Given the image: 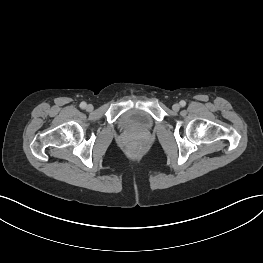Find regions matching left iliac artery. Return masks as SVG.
I'll use <instances>...</instances> for the list:
<instances>
[{
    "label": "left iliac artery",
    "mask_w": 263,
    "mask_h": 263,
    "mask_svg": "<svg viewBox=\"0 0 263 263\" xmlns=\"http://www.w3.org/2000/svg\"><path fill=\"white\" fill-rule=\"evenodd\" d=\"M180 105H181L182 107H184V106L186 105V102H185L184 100H181V101H180Z\"/></svg>",
    "instance_id": "1"
}]
</instances>
